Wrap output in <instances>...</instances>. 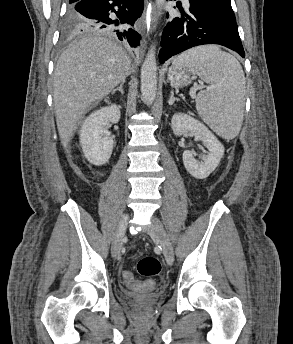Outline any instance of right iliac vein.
Here are the masks:
<instances>
[{
  "label": "right iliac vein",
  "mask_w": 293,
  "mask_h": 344,
  "mask_svg": "<svg viewBox=\"0 0 293 344\" xmlns=\"http://www.w3.org/2000/svg\"><path fill=\"white\" fill-rule=\"evenodd\" d=\"M128 221H129V214L125 213L122 216V218H121V220L117 226L116 232L113 236L111 252H112V256L114 258H117L120 255L122 238L125 235Z\"/></svg>",
  "instance_id": "right-iliac-vein-1"
}]
</instances>
